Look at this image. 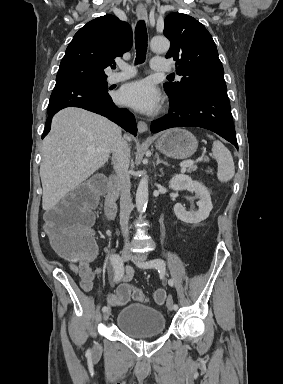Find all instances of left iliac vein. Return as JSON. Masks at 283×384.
Listing matches in <instances>:
<instances>
[{
  "instance_id": "1",
  "label": "left iliac vein",
  "mask_w": 283,
  "mask_h": 384,
  "mask_svg": "<svg viewBox=\"0 0 283 384\" xmlns=\"http://www.w3.org/2000/svg\"><path fill=\"white\" fill-rule=\"evenodd\" d=\"M132 261L140 268H143L142 267V264L143 263H146V257L144 255H141V254H133L132 255ZM167 307L169 310H173V299H172V296H168V299H167Z\"/></svg>"
}]
</instances>
